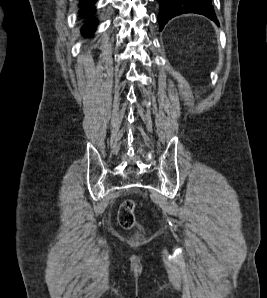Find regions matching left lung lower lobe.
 Returning <instances> with one entry per match:
<instances>
[{
    "instance_id": "obj_1",
    "label": "left lung lower lobe",
    "mask_w": 267,
    "mask_h": 298,
    "mask_svg": "<svg viewBox=\"0 0 267 298\" xmlns=\"http://www.w3.org/2000/svg\"><path fill=\"white\" fill-rule=\"evenodd\" d=\"M160 4L158 22L160 31L164 25L173 17L183 13H196L204 15L211 20L215 19V13L211 5V0H157Z\"/></svg>"
}]
</instances>
